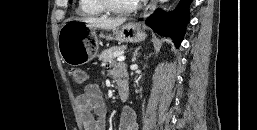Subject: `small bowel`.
I'll use <instances>...</instances> for the list:
<instances>
[{
    "label": "small bowel",
    "mask_w": 257,
    "mask_h": 130,
    "mask_svg": "<svg viewBox=\"0 0 257 130\" xmlns=\"http://www.w3.org/2000/svg\"><path fill=\"white\" fill-rule=\"evenodd\" d=\"M107 69L116 81H127V73L123 66L108 64ZM77 105L84 130H105L107 111L96 84H88L85 87L84 92L77 97ZM118 130H138L136 114L131 108L123 109Z\"/></svg>",
    "instance_id": "1"
}]
</instances>
